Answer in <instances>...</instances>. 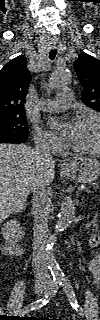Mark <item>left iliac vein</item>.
<instances>
[{"label":"left iliac vein","instance_id":"left-iliac-vein-1","mask_svg":"<svg viewBox=\"0 0 100 320\" xmlns=\"http://www.w3.org/2000/svg\"><path fill=\"white\" fill-rule=\"evenodd\" d=\"M52 286H53V282H50V283L48 284V290H51Z\"/></svg>","mask_w":100,"mask_h":320}]
</instances>
